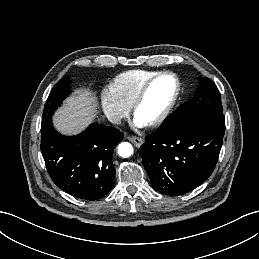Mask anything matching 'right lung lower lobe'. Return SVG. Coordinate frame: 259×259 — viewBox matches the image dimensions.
I'll use <instances>...</instances> for the list:
<instances>
[{
	"mask_svg": "<svg viewBox=\"0 0 259 259\" xmlns=\"http://www.w3.org/2000/svg\"><path fill=\"white\" fill-rule=\"evenodd\" d=\"M41 152L53 182L68 194L98 200L112 189V154L124 138L118 129L92 124L76 137L59 134L50 121L41 128Z\"/></svg>",
	"mask_w": 259,
	"mask_h": 259,
	"instance_id": "right-lung-lower-lobe-1",
	"label": "right lung lower lobe"
}]
</instances>
